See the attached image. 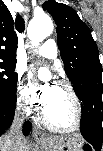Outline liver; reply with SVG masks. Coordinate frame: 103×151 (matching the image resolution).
Wrapping results in <instances>:
<instances>
[{
    "instance_id": "obj_1",
    "label": "liver",
    "mask_w": 103,
    "mask_h": 151,
    "mask_svg": "<svg viewBox=\"0 0 103 151\" xmlns=\"http://www.w3.org/2000/svg\"><path fill=\"white\" fill-rule=\"evenodd\" d=\"M27 143L22 135L8 138V135L1 137V151H24Z\"/></svg>"
}]
</instances>
